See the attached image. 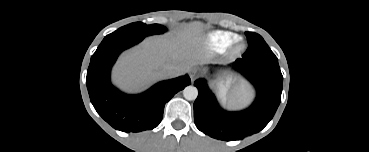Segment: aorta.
Masks as SVG:
<instances>
[{
	"label": "aorta",
	"instance_id": "obj_1",
	"mask_svg": "<svg viewBox=\"0 0 369 152\" xmlns=\"http://www.w3.org/2000/svg\"><path fill=\"white\" fill-rule=\"evenodd\" d=\"M183 96L189 101L195 100L198 96V89L195 86H187L183 90Z\"/></svg>",
	"mask_w": 369,
	"mask_h": 152
}]
</instances>
